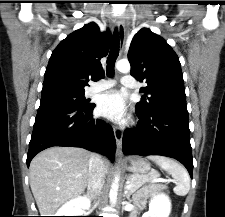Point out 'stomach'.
<instances>
[{
    "label": "stomach",
    "mask_w": 225,
    "mask_h": 217,
    "mask_svg": "<svg viewBox=\"0 0 225 217\" xmlns=\"http://www.w3.org/2000/svg\"><path fill=\"white\" fill-rule=\"evenodd\" d=\"M126 169L134 174L144 175L151 169L150 164L141 157L130 156L126 161Z\"/></svg>",
    "instance_id": "obj_1"
}]
</instances>
